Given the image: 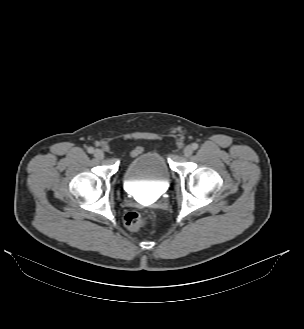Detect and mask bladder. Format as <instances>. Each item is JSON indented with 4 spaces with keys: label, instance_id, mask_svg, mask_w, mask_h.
<instances>
[{
    "label": "bladder",
    "instance_id": "bladder-1",
    "mask_svg": "<svg viewBox=\"0 0 304 329\" xmlns=\"http://www.w3.org/2000/svg\"><path fill=\"white\" fill-rule=\"evenodd\" d=\"M122 179L125 185L151 183L165 186L170 180V169L157 151L142 152L126 164Z\"/></svg>",
    "mask_w": 304,
    "mask_h": 329
}]
</instances>
